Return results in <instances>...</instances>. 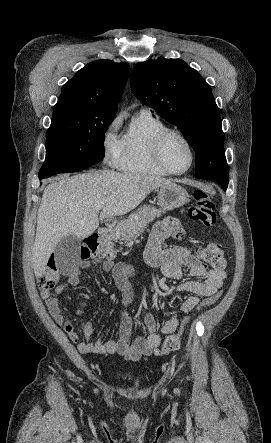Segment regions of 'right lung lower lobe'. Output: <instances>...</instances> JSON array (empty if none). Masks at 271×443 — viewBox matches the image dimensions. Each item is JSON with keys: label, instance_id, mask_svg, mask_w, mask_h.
<instances>
[{"label": "right lung lower lobe", "instance_id": "obj_1", "mask_svg": "<svg viewBox=\"0 0 271 443\" xmlns=\"http://www.w3.org/2000/svg\"><path fill=\"white\" fill-rule=\"evenodd\" d=\"M88 167H74V168H61V169H56L47 173H39V179H45L48 178L50 176H53L55 174H60V173H69V172H77L80 170H84Z\"/></svg>", "mask_w": 271, "mask_h": 443}]
</instances>
